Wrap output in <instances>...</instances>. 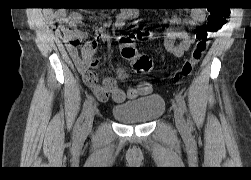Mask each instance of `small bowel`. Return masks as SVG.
I'll return each mask as SVG.
<instances>
[{
    "instance_id": "small-bowel-1",
    "label": "small bowel",
    "mask_w": 251,
    "mask_h": 180,
    "mask_svg": "<svg viewBox=\"0 0 251 180\" xmlns=\"http://www.w3.org/2000/svg\"><path fill=\"white\" fill-rule=\"evenodd\" d=\"M50 15L56 25L61 27L67 50L82 74L84 82L99 101H107L111 97L114 102L122 103L126 99H136L149 95L152 92V86L148 82H142L136 87H128L126 89L119 87L118 79H124L126 76L122 68H119L117 71V79L107 77L100 84L98 76L94 71L99 64L95 57L98 44L97 39L86 42L81 49V53L78 51L80 43L87 38V34L79 28L84 17L80 13L68 12L66 10H57ZM138 16L139 11L136 8L128 7L122 9L116 17L114 26L121 28L126 22L136 20ZM204 20L205 12L201 8H194L189 19H181L178 16H174L171 19L172 26L165 33V49L177 58L182 57L189 50L192 38L189 32L179 29L177 26L182 24L197 26L202 24ZM63 24H66V26H63ZM101 35L102 31H98V36Z\"/></svg>"
}]
</instances>
